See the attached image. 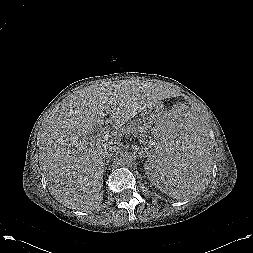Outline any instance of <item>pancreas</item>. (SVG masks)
<instances>
[{
  "mask_svg": "<svg viewBox=\"0 0 253 253\" xmlns=\"http://www.w3.org/2000/svg\"><path fill=\"white\" fill-rule=\"evenodd\" d=\"M150 126L143 122L142 120L132 121L128 126L127 130H129L133 135H140L141 142L147 145V137L146 134L149 130ZM149 147V146H147ZM148 151V149H146ZM150 153V151H148Z\"/></svg>",
  "mask_w": 253,
  "mask_h": 253,
  "instance_id": "pancreas-1",
  "label": "pancreas"
}]
</instances>
